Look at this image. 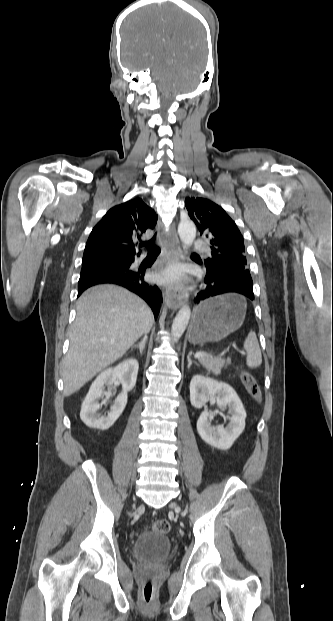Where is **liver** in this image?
Returning a JSON list of instances; mask_svg holds the SVG:
<instances>
[{"label":"liver","instance_id":"1","mask_svg":"<svg viewBox=\"0 0 333 621\" xmlns=\"http://www.w3.org/2000/svg\"><path fill=\"white\" fill-rule=\"evenodd\" d=\"M76 310L63 359L65 396L123 356L153 324L145 302L115 285L89 288L79 297Z\"/></svg>","mask_w":333,"mask_h":621}]
</instances>
